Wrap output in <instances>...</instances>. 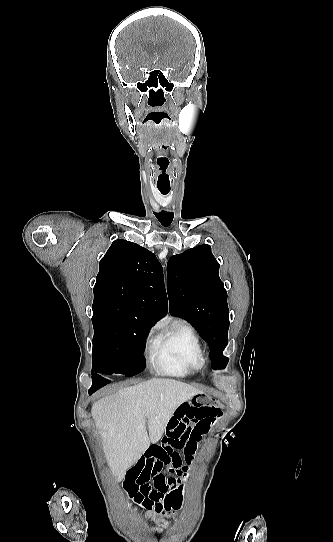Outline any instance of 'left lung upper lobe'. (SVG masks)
<instances>
[{"instance_id": "left-lung-upper-lobe-1", "label": "left lung upper lobe", "mask_w": 333, "mask_h": 542, "mask_svg": "<svg viewBox=\"0 0 333 542\" xmlns=\"http://www.w3.org/2000/svg\"><path fill=\"white\" fill-rule=\"evenodd\" d=\"M170 313L189 320L208 343L214 369L225 368L228 343L227 292L219 278V263L203 244L172 256L167 263Z\"/></svg>"}]
</instances>
